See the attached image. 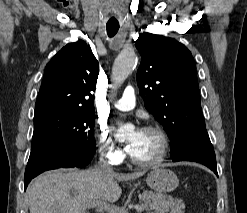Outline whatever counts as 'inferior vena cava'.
<instances>
[{"mask_svg":"<svg viewBox=\"0 0 247 213\" xmlns=\"http://www.w3.org/2000/svg\"><path fill=\"white\" fill-rule=\"evenodd\" d=\"M98 169L102 170L104 172H109V173L113 172V169L111 168V166L106 164L105 155L103 153H101V156H100V159H99Z\"/></svg>","mask_w":247,"mask_h":213,"instance_id":"602c4592","label":"inferior vena cava"}]
</instances>
